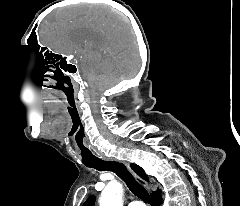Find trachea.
Returning <instances> with one entry per match:
<instances>
[{
    "label": "trachea",
    "mask_w": 240,
    "mask_h": 206,
    "mask_svg": "<svg viewBox=\"0 0 240 206\" xmlns=\"http://www.w3.org/2000/svg\"><path fill=\"white\" fill-rule=\"evenodd\" d=\"M85 165L89 168H94L99 171L109 170L114 172L126 183L127 187L134 195L152 205L147 190L135 180L123 163L118 161H104L102 159H98L96 161L86 163Z\"/></svg>",
    "instance_id": "3493384b"
}]
</instances>
